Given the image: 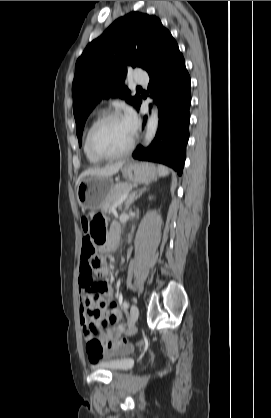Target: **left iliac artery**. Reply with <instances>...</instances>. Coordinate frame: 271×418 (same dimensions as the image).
I'll return each instance as SVG.
<instances>
[{
  "label": "left iliac artery",
  "instance_id": "44dca946",
  "mask_svg": "<svg viewBox=\"0 0 271 418\" xmlns=\"http://www.w3.org/2000/svg\"><path fill=\"white\" fill-rule=\"evenodd\" d=\"M123 308L124 309H128L129 308V303L127 301L123 302Z\"/></svg>",
  "mask_w": 271,
  "mask_h": 418
}]
</instances>
